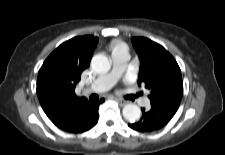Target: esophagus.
<instances>
[{"mask_svg": "<svg viewBox=\"0 0 225 155\" xmlns=\"http://www.w3.org/2000/svg\"><path fill=\"white\" fill-rule=\"evenodd\" d=\"M114 100L120 104L121 106L125 105L127 102L125 100L119 99V98H114Z\"/></svg>", "mask_w": 225, "mask_h": 155, "instance_id": "34e87169", "label": "esophagus"}]
</instances>
